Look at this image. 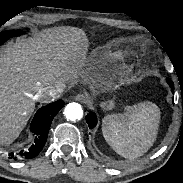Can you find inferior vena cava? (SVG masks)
Returning a JSON list of instances; mask_svg holds the SVG:
<instances>
[{"label":"inferior vena cava","mask_w":183,"mask_h":183,"mask_svg":"<svg viewBox=\"0 0 183 183\" xmlns=\"http://www.w3.org/2000/svg\"><path fill=\"white\" fill-rule=\"evenodd\" d=\"M64 88L65 86L63 84L49 85L40 89L34 98L35 100H39L41 102H49L59 98L64 91Z\"/></svg>","instance_id":"1"}]
</instances>
